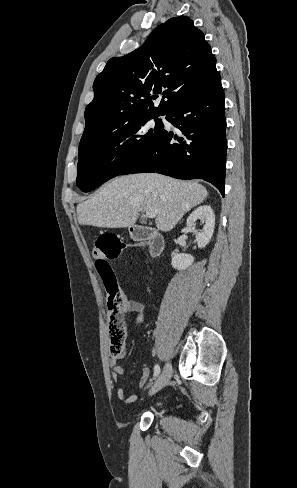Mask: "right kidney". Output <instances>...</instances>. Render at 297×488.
Wrapping results in <instances>:
<instances>
[{
  "instance_id": "1",
  "label": "right kidney",
  "mask_w": 297,
  "mask_h": 488,
  "mask_svg": "<svg viewBox=\"0 0 297 488\" xmlns=\"http://www.w3.org/2000/svg\"><path fill=\"white\" fill-rule=\"evenodd\" d=\"M200 219L204 223V228L201 232L195 230V222ZM215 215L209 205H203L196 208L188 216L186 221V229L196 235V242L199 248H204L208 245L214 232ZM194 262V257L191 254L172 252L171 264L177 270H185Z\"/></svg>"
}]
</instances>
